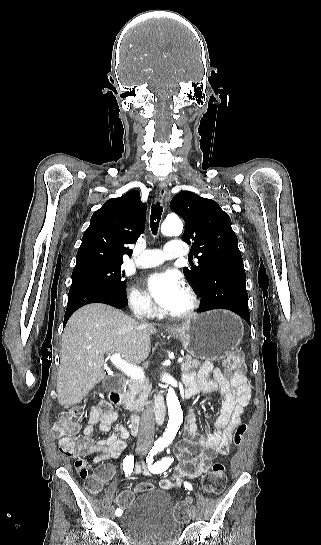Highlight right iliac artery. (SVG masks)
I'll use <instances>...</instances> for the list:
<instances>
[{"label": "right iliac artery", "mask_w": 321, "mask_h": 545, "mask_svg": "<svg viewBox=\"0 0 321 545\" xmlns=\"http://www.w3.org/2000/svg\"><path fill=\"white\" fill-rule=\"evenodd\" d=\"M134 468V456L133 455H127L125 459L123 460V469L126 474V476L130 475L133 472ZM121 511L116 510L115 514L118 516L120 515Z\"/></svg>", "instance_id": "obj_1"}]
</instances>
